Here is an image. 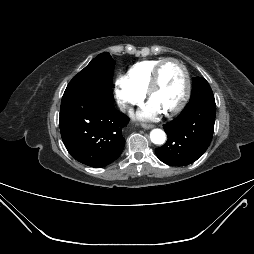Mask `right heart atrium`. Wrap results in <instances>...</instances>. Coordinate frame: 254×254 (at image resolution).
<instances>
[{
	"mask_svg": "<svg viewBox=\"0 0 254 254\" xmlns=\"http://www.w3.org/2000/svg\"><path fill=\"white\" fill-rule=\"evenodd\" d=\"M115 97L119 107L127 110L141 102L145 93L139 90L127 75H119L115 80Z\"/></svg>",
	"mask_w": 254,
	"mask_h": 254,
	"instance_id": "1",
	"label": "right heart atrium"
}]
</instances>
